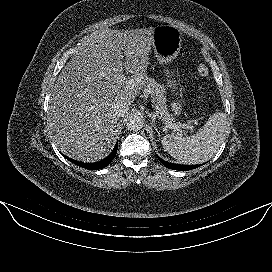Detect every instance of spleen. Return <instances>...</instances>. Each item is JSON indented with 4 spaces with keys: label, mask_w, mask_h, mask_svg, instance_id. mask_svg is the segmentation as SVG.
I'll return each instance as SVG.
<instances>
[{
    "label": "spleen",
    "mask_w": 272,
    "mask_h": 272,
    "mask_svg": "<svg viewBox=\"0 0 272 272\" xmlns=\"http://www.w3.org/2000/svg\"><path fill=\"white\" fill-rule=\"evenodd\" d=\"M226 119L216 112L199 131L192 136L165 135L162 145L173 158L184 164H199L209 160L218 151L224 140Z\"/></svg>",
    "instance_id": "1"
}]
</instances>
